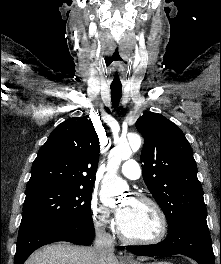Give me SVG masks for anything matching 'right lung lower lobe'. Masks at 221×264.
I'll return each mask as SVG.
<instances>
[{"label":"right lung lower lobe","instance_id":"1","mask_svg":"<svg viewBox=\"0 0 221 264\" xmlns=\"http://www.w3.org/2000/svg\"><path fill=\"white\" fill-rule=\"evenodd\" d=\"M93 223L78 225H27L20 228L14 264L24 261L39 247L57 241L90 245L94 239Z\"/></svg>","mask_w":221,"mask_h":264}]
</instances>
